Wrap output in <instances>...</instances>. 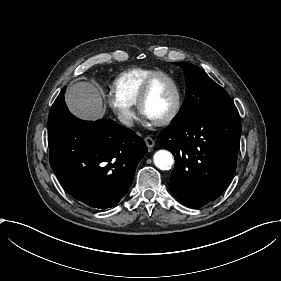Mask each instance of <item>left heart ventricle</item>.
Returning <instances> with one entry per match:
<instances>
[{"mask_svg": "<svg viewBox=\"0 0 281 281\" xmlns=\"http://www.w3.org/2000/svg\"><path fill=\"white\" fill-rule=\"evenodd\" d=\"M175 103V91L167 81L159 82L144 104V113L151 121L165 119L172 111Z\"/></svg>", "mask_w": 281, "mask_h": 281, "instance_id": "b2bd125f", "label": "left heart ventricle"}]
</instances>
